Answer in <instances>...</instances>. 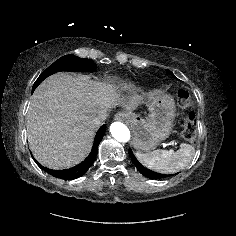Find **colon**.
I'll list each match as a JSON object with an SVG mask.
<instances>
[{"label": "colon", "mask_w": 236, "mask_h": 236, "mask_svg": "<svg viewBox=\"0 0 236 236\" xmlns=\"http://www.w3.org/2000/svg\"><path fill=\"white\" fill-rule=\"evenodd\" d=\"M177 100L179 107L186 111L191 108L193 101L188 90L180 89L177 94ZM196 117L195 113L188 111L181 117V135L182 137L191 143H196V129H195Z\"/></svg>", "instance_id": "obj_1"}]
</instances>
